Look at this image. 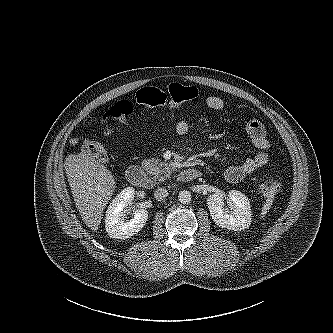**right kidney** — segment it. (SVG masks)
Segmentation results:
<instances>
[{
    "label": "right kidney",
    "instance_id": "ca27d5eb",
    "mask_svg": "<svg viewBox=\"0 0 333 333\" xmlns=\"http://www.w3.org/2000/svg\"><path fill=\"white\" fill-rule=\"evenodd\" d=\"M135 196V189L127 187L123 189L110 203L105 217L106 232L111 238L126 239L137 234L145 225L148 211L136 209L133 219L125 221L128 206Z\"/></svg>",
    "mask_w": 333,
    "mask_h": 333
}]
</instances>
